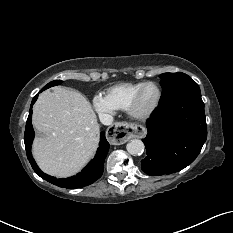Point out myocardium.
<instances>
[{"label": "myocardium", "instance_id": "myocardium-1", "mask_svg": "<svg viewBox=\"0 0 233 233\" xmlns=\"http://www.w3.org/2000/svg\"><path fill=\"white\" fill-rule=\"evenodd\" d=\"M149 85H152L157 89V93H158L157 99L150 108L146 110H141L139 108L140 98H141L143 90ZM161 98H162V91H161L160 86L157 83L152 82V81L144 82L133 95L129 103V106L127 108V111L130 114V116H132L133 118L137 120H145L149 118L154 113V111L158 108L161 102Z\"/></svg>", "mask_w": 233, "mask_h": 233}]
</instances>
